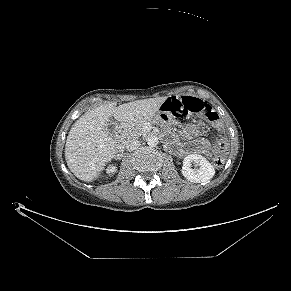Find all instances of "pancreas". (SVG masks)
I'll list each match as a JSON object with an SVG mask.
<instances>
[{"instance_id":"cf45deb5","label":"pancreas","mask_w":291,"mask_h":291,"mask_svg":"<svg viewBox=\"0 0 291 291\" xmlns=\"http://www.w3.org/2000/svg\"><path fill=\"white\" fill-rule=\"evenodd\" d=\"M143 124L144 122L126 125L121 132V138L126 141L130 137H138L146 133L143 129Z\"/></svg>"}]
</instances>
